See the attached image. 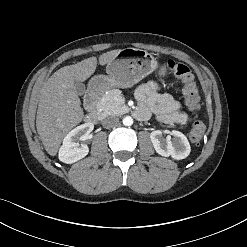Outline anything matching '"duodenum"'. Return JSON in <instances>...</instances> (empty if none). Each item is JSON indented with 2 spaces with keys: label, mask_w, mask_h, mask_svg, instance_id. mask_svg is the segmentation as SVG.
I'll return each instance as SVG.
<instances>
[{
  "label": "duodenum",
  "mask_w": 247,
  "mask_h": 247,
  "mask_svg": "<svg viewBox=\"0 0 247 247\" xmlns=\"http://www.w3.org/2000/svg\"><path fill=\"white\" fill-rule=\"evenodd\" d=\"M101 93V87L99 85H95L89 89L85 96V106L88 111L85 116V121L87 123L95 124L98 121L99 113L96 109V106Z\"/></svg>",
  "instance_id": "obj_1"
}]
</instances>
